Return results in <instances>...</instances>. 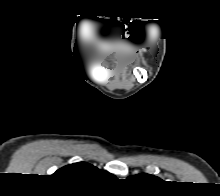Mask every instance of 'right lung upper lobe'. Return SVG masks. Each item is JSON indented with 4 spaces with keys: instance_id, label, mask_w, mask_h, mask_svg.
Wrapping results in <instances>:
<instances>
[{
    "instance_id": "cb5924a9",
    "label": "right lung upper lobe",
    "mask_w": 220,
    "mask_h": 196,
    "mask_svg": "<svg viewBox=\"0 0 220 196\" xmlns=\"http://www.w3.org/2000/svg\"><path fill=\"white\" fill-rule=\"evenodd\" d=\"M53 175L60 178H69L80 183H94L99 180L114 178L109 172L100 170L86 162L64 166Z\"/></svg>"
}]
</instances>
